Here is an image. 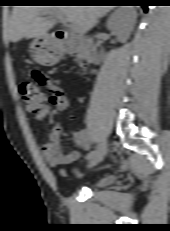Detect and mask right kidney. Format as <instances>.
<instances>
[{
	"instance_id": "1",
	"label": "right kidney",
	"mask_w": 170,
	"mask_h": 231,
	"mask_svg": "<svg viewBox=\"0 0 170 231\" xmlns=\"http://www.w3.org/2000/svg\"><path fill=\"white\" fill-rule=\"evenodd\" d=\"M136 17L137 14L132 7H120L109 17L107 28L119 41L125 42L135 26Z\"/></svg>"
}]
</instances>
